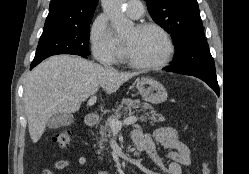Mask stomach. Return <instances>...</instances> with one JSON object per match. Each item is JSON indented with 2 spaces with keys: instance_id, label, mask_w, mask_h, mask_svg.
Instances as JSON below:
<instances>
[{
  "instance_id": "1",
  "label": "stomach",
  "mask_w": 249,
  "mask_h": 174,
  "mask_svg": "<svg viewBox=\"0 0 249 174\" xmlns=\"http://www.w3.org/2000/svg\"><path fill=\"white\" fill-rule=\"evenodd\" d=\"M136 87L142 98L147 102L159 104L167 100L168 95L164 86L152 78L142 77L138 79Z\"/></svg>"
}]
</instances>
